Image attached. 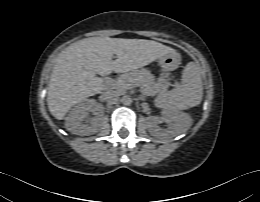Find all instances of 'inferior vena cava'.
<instances>
[{
	"mask_svg": "<svg viewBox=\"0 0 260 202\" xmlns=\"http://www.w3.org/2000/svg\"><path fill=\"white\" fill-rule=\"evenodd\" d=\"M120 93L114 90L105 91L103 94L104 99L111 104L118 102Z\"/></svg>",
	"mask_w": 260,
	"mask_h": 202,
	"instance_id": "obj_1",
	"label": "inferior vena cava"
}]
</instances>
